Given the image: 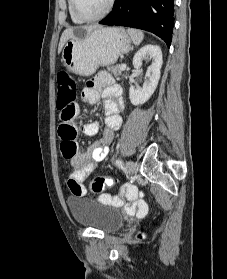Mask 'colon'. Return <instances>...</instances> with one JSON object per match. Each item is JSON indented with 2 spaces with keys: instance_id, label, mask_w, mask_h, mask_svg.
<instances>
[{
  "instance_id": "5ec220e1",
  "label": "colon",
  "mask_w": 227,
  "mask_h": 279,
  "mask_svg": "<svg viewBox=\"0 0 227 279\" xmlns=\"http://www.w3.org/2000/svg\"><path fill=\"white\" fill-rule=\"evenodd\" d=\"M59 88L60 98L57 103V107L60 111V118L62 120V126L60 130L61 135V154L65 159H71L76 153V145L74 138L76 134V127L68 124L75 117V101H76V85L71 79L68 73L61 72L59 74ZM115 181L111 176H97L91 180L90 192L97 195L99 199L106 204H112L119 206L123 203V200L118 197H109L104 193L107 187L114 185ZM71 191L76 196H84L85 193L81 190L75 179L69 180Z\"/></svg>"
}]
</instances>
